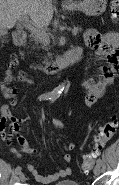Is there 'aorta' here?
<instances>
[{
	"label": "aorta",
	"mask_w": 119,
	"mask_h": 185,
	"mask_svg": "<svg viewBox=\"0 0 119 185\" xmlns=\"http://www.w3.org/2000/svg\"><path fill=\"white\" fill-rule=\"evenodd\" d=\"M64 90V84L59 85L57 88L54 89L55 94H60Z\"/></svg>",
	"instance_id": "1"
}]
</instances>
